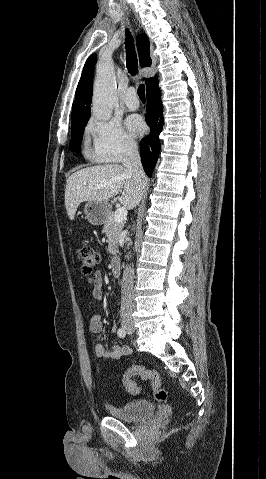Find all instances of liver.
Returning a JSON list of instances; mask_svg holds the SVG:
<instances>
[{"label":"liver","instance_id":"1","mask_svg":"<svg viewBox=\"0 0 266 479\" xmlns=\"http://www.w3.org/2000/svg\"><path fill=\"white\" fill-rule=\"evenodd\" d=\"M147 187V179L140 185L133 174L118 164H104L87 167L74 172L67 179L65 188V206L70 220L74 219L80 203L84 201H103L117 195L121 190L119 202L133 209L141 200Z\"/></svg>","mask_w":266,"mask_h":479}]
</instances>
